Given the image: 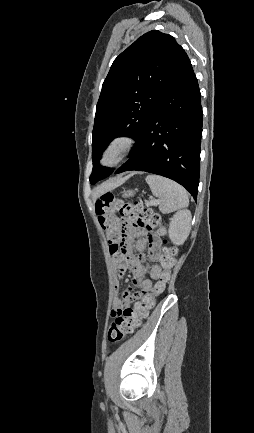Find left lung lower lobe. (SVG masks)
Segmentation results:
<instances>
[{
	"label": "left lung lower lobe",
	"mask_w": 254,
	"mask_h": 433,
	"mask_svg": "<svg viewBox=\"0 0 254 433\" xmlns=\"http://www.w3.org/2000/svg\"><path fill=\"white\" fill-rule=\"evenodd\" d=\"M203 113L187 57L148 120L130 159L115 173L146 171L170 178L196 200Z\"/></svg>",
	"instance_id": "obj_1"
}]
</instances>
